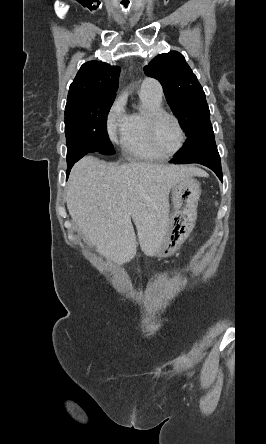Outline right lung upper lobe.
Returning <instances> with one entry per match:
<instances>
[{"label":"right lung upper lobe","mask_w":266,"mask_h":444,"mask_svg":"<svg viewBox=\"0 0 266 444\" xmlns=\"http://www.w3.org/2000/svg\"><path fill=\"white\" fill-rule=\"evenodd\" d=\"M120 68L104 62L83 64L70 85L67 104L101 96H115Z\"/></svg>","instance_id":"cb5924a9"}]
</instances>
